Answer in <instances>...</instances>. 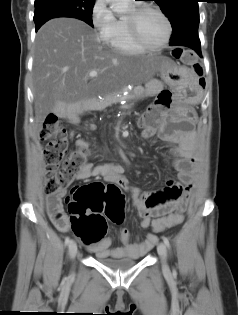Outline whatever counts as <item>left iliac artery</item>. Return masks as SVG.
<instances>
[{"label":"left iliac artery","mask_w":238,"mask_h":315,"mask_svg":"<svg viewBox=\"0 0 238 315\" xmlns=\"http://www.w3.org/2000/svg\"><path fill=\"white\" fill-rule=\"evenodd\" d=\"M162 239H163V242L165 243V245L169 248L170 247V242H169L168 238L162 237Z\"/></svg>","instance_id":"44dca946"}]
</instances>
